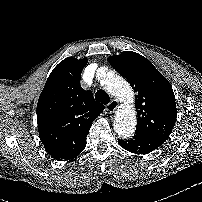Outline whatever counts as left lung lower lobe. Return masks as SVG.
<instances>
[{
	"label": "left lung lower lobe",
	"mask_w": 202,
	"mask_h": 202,
	"mask_svg": "<svg viewBox=\"0 0 202 202\" xmlns=\"http://www.w3.org/2000/svg\"><path fill=\"white\" fill-rule=\"evenodd\" d=\"M166 139L156 137V136H148L135 134L132 139L128 140H119V145L135 154H148L158 147H160Z\"/></svg>",
	"instance_id": "obj_1"
}]
</instances>
